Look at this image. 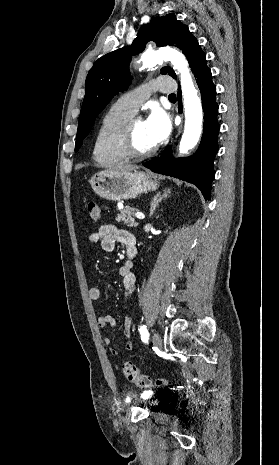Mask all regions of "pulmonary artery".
I'll use <instances>...</instances> for the list:
<instances>
[{
    "mask_svg": "<svg viewBox=\"0 0 279 465\" xmlns=\"http://www.w3.org/2000/svg\"><path fill=\"white\" fill-rule=\"evenodd\" d=\"M175 85L167 77H159L132 91L123 94L117 103L132 113H136L139 107L149 98L152 92L160 91L171 94L175 91Z\"/></svg>",
    "mask_w": 279,
    "mask_h": 465,
    "instance_id": "obj_1",
    "label": "pulmonary artery"
}]
</instances>
